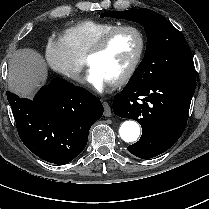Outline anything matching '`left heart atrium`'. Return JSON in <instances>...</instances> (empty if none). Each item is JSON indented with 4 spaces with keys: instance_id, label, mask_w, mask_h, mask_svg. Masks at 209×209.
<instances>
[{
    "instance_id": "1",
    "label": "left heart atrium",
    "mask_w": 209,
    "mask_h": 209,
    "mask_svg": "<svg viewBox=\"0 0 209 209\" xmlns=\"http://www.w3.org/2000/svg\"><path fill=\"white\" fill-rule=\"evenodd\" d=\"M84 80L97 91H102L106 85L111 83L101 71L93 66H89Z\"/></svg>"
}]
</instances>
